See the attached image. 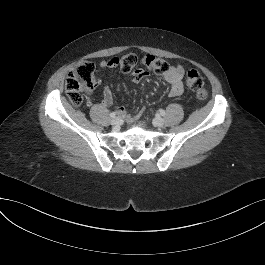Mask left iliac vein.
Returning a JSON list of instances; mask_svg holds the SVG:
<instances>
[{
    "mask_svg": "<svg viewBox=\"0 0 265 265\" xmlns=\"http://www.w3.org/2000/svg\"><path fill=\"white\" fill-rule=\"evenodd\" d=\"M153 123L156 127H162L164 125V120L161 117H155Z\"/></svg>",
    "mask_w": 265,
    "mask_h": 265,
    "instance_id": "obj_1",
    "label": "left iliac vein"
}]
</instances>
